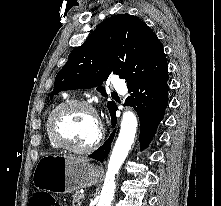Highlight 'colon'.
Instances as JSON below:
<instances>
[{"mask_svg": "<svg viewBox=\"0 0 221 206\" xmlns=\"http://www.w3.org/2000/svg\"><path fill=\"white\" fill-rule=\"evenodd\" d=\"M29 206H59V204L51 195L40 191L32 195Z\"/></svg>", "mask_w": 221, "mask_h": 206, "instance_id": "obj_1", "label": "colon"}]
</instances>
